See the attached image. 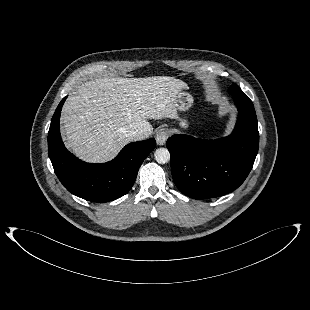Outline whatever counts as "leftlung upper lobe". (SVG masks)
Wrapping results in <instances>:
<instances>
[{
    "label": "left lung upper lobe",
    "mask_w": 310,
    "mask_h": 310,
    "mask_svg": "<svg viewBox=\"0 0 310 310\" xmlns=\"http://www.w3.org/2000/svg\"><path fill=\"white\" fill-rule=\"evenodd\" d=\"M229 93L231 95H235V94H240L243 93L242 90L238 87L237 84H233L230 88H229Z\"/></svg>",
    "instance_id": "obj_1"
}]
</instances>
